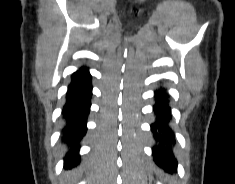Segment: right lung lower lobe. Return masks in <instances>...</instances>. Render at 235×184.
<instances>
[{
	"instance_id": "1",
	"label": "right lung lower lobe",
	"mask_w": 235,
	"mask_h": 184,
	"mask_svg": "<svg viewBox=\"0 0 235 184\" xmlns=\"http://www.w3.org/2000/svg\"><path fill=\"white\" fill-rule=\"evenodd\" d=\"M92 84L91 75L86 67H81L71 76L63 108V129L65 141L70 149L65 157V167L72 168L80 162L77 143L85 136L87 117L91 106Z\"/></svg>"
}]
</instances>
